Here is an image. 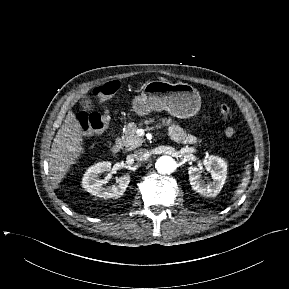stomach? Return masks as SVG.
<instances>
[{
	"label": "stomach",
	"mask_w": 289,
	"mask_h": 289,
	"mask_svg": "<svg viewBox=\"0 0 289 289\" xmlns=\"http://www.w3.org/2000/svg\"><path fill=\"white\" fill-rule=\"evenodd\" d=\"M133 110L139 116L152 111H167L177 118H190L201 106L199 92L187 83L152 80L144 84L141 95L133 99Z\"/></svg>",
	"instance_id": "obj_1"
}]
</instances>
